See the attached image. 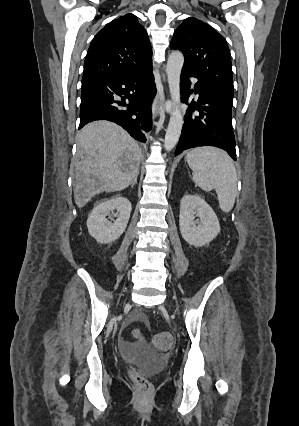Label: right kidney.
Wrapping results in <instances>:
<instances>
[{
    "instance_id": "1",
    "label": "right kidney",
    "mask_w": 299,
    "mask_h": 426,
    "mask_svg": "<svg viewBox=\"0 0 299 426\" xmlns=\"http://www.w3.org/2000/svg\"><path fill=\"white\" fill-rule=\"evenodd\" d=\"M131 210L130 201L122 196L100 202L87 219L89 234L101 244L114 242L125 231ZM113 211H117L116 220L111 222L106 217Z\"/></svg>"
}]
</instances>
